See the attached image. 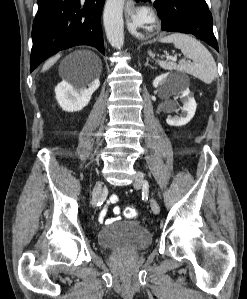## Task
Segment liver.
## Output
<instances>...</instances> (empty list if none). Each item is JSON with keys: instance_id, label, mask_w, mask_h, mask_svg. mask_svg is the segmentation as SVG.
<instances>
[{"instance_id": "6515ba94", "label": "liver", "mask_w": 247, "mask_h": 299, "mask_svg": "<svg viewBox=\"0 0 247 299\" xmlns=\"http://www.w3.org/2000/svg\"><path fill=\"white\" fill-rule=\"evenodd\" d=\"M86 53L90 56L93 57V59L96 61V63L99 65L100 69H101V61L99 59V57L91 52V51H86ZM60 57V54L56 55L55 57L49 59L44 65H43V68H42V71H47L50 67H52L54 65V63L59 59Z\"/></svg>"}]
</instances>
